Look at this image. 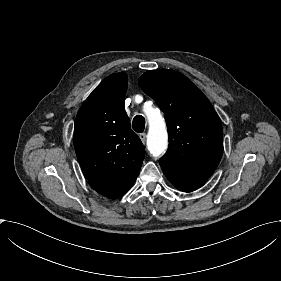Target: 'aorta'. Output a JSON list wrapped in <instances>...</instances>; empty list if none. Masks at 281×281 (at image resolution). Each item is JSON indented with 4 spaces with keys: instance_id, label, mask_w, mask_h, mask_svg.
Returning <instances> with one entry per match:
<instances>
[{
    "instance_id": "aorta-1",
    "label": "aorta",
    "mask_w": 281,
    "mask_h": 281,
    "mask_svg": "<svg viewBox=\"0 0 281 281\" xmlns=\"http://www.w3.org/2000/svg\"><path fill=\"white\" fill-rule=\"evenodd\" d=\"M145 113L149 121V132L147 136V147L150 153L157 157L167 149L168 134L164 118L159 111L153 108H146Z\"/></svg>"
}]
</instances>
